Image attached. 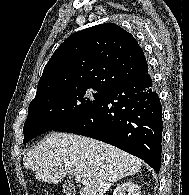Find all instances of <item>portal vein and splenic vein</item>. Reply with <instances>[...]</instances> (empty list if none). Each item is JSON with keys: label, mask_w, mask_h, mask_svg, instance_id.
I'll list each match as a JSON object with an SVG mask.
<instances>
[{"label": "portal vein and splenic vein", "mask_w": 189, "mask_h": 195, "mask_svg": "<svg viewBox=\"0 0 189 195\" xmlns=\"http://www.w3.org/2000/svg\"><path fill=\"white\" fill-rule=\"evenodd\" d=\"M75 181H76L77 183H81V184H83V185H87V184H88V181L82 179L80 176H76V177H75Z\"/></svg>", "instance_id": "obj_1"}]
</instances>
